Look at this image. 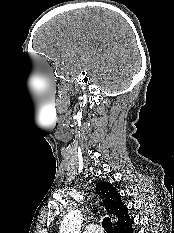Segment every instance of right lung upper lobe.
Instances as JSON below:
<instances>
[{"label":"right lung upper lobe","mask_w":174,"mask_h":233,"mask_svg":"<svg viewBox=\"0 0 174 233\" xmlns=\"http://www.w3.org/2000/svg\"><path fill=\"white\" fill-rule=\"evenodd\" d=\"M96 192L103 199V204L107 211L118 219L114 225L116 233H120V231L133 223V220L128 216V208L121 201V195L111 183L98 182L96 184Z\"/></svg>","instance_id":"cb5924a9"}]
</instances>
